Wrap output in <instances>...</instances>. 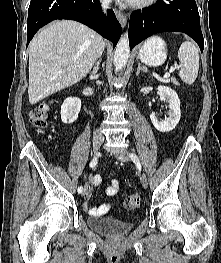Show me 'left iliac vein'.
I'll use <instances>...</instances> for the list:
<instances>
[{"label": "left iliac vein", "mask_w": 221, "mask_h": 263, "mask_svg": "<svg viewBox=\"0 0 221 263\" xmlns=\"http://www.w3.org/2000/svg\"><path fill=\"white\" fill-rule=\"evenodd\" d=\"M115 156L121 161H128V156L126 155V152L124 150H120V151L116 152ZM140 180H141L143 187L147 188L148 181H147V177L144 173L141 175Z\"/></svg>", "instance_id": "left-iliac-vein-1"}]
</instances>
